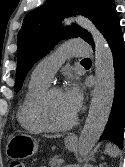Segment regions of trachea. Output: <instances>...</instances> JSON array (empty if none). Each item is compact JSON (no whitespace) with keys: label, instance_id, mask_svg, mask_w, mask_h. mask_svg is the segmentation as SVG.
Instances as JSON below:
<instances>
[{"label":"trachea","instance_id":"obj_1","mask_svg":"<svg viewBox=\"0 0 125 167\" xmlns=\"http://www.w3.org/2000/svg\"><path fill=\"white\" fill-rule=\"evenodd\" d=\"M82 62H91V60L89 58H85L82 60Z\"/></svg>","mask_w":125,"mask_h":167}]
</instances>
